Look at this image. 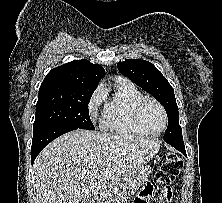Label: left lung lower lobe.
<instances>
[{"label": "left lung lower lobe", "mask_w": 222, "mask_h": 203, "mask_svg": "<svg viewBox=\"0 0 222 203\" xmlns=\"http://www.w3.org/2000/svg\"><path fill=\"white\" fill-rule=\"evenodd\" d=\"M168 144L172 145L174 148H176L177 150L182 152L184 155H186L184 142H182V143H168Z\"/></svg>", "instance_id": "1"}]
</instances>
